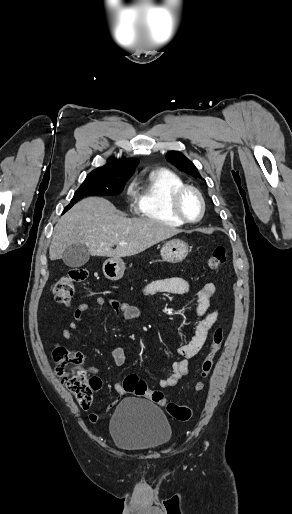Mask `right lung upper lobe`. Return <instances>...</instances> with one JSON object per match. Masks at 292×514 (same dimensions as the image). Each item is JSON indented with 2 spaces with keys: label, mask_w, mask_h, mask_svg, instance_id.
Masks as SVG:
<instances>
[{
  "label": "right lung upper lobe",
  "mask_w": 292,
  "mask_h": 514,
  "mask_svg": "<svg viewBox=\"0 0 292 514\" xmlns=\"http://www.w3.org/2000/svg\"><path fill=\"white\" fill-rule=\"evenodd\" d=\"M139 163L136 159L109 158L108 163L102 167L94 169L88 177L103 179H129L134 173L135 167Z\"/></svg>",
  "instance_id": "right-lung-upper-lobe-1"
}]
</instances>
